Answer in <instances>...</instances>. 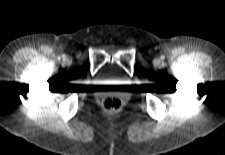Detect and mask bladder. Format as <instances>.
I'll return each instance as SVG.
<instances>
[{
    "mask_svg": "<svg viewBox=\"0 0 225 155\" xmlns=\"http://www.w3.org/2000/svg\"><path fill=\"white\" fill-rule=\"evenodd\" d=\"M101 79H104V80L115 79V75L111 72V70H105V71L101 74Z\"/></svg>",
    "mask_w": 225,
    "mask_h": 155,
    "instance_id": "obj_1",
    "label": "bladder"
}]
</instances>
